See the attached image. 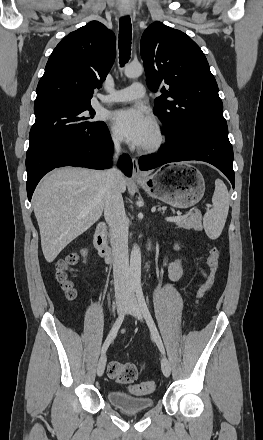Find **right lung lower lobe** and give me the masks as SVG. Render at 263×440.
<instances>
[{
	"label": "right lung lower lobe",
	"instance_id": "98d812e1",
	"mask_svg": "<svg viewBox=\"0 0 263 440\" xmlns=\"http://www.w3.org/2000/svg\"><path fill=\"white\" fill-rule=\"evenodd\" d=\"M113 144L107 126L95 134L70 136L57 140L26 157L27 195L32 194L40 179L57 167L75 166L106 169L111 166ZM119 167L127 176L132 175V160L123 155Z\"/></svg>",
	"mask_w": 263,
	"mask_h": 440
}]
</instances>
